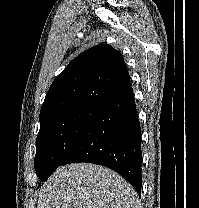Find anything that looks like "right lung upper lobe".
I'll return each mask as SVG.
<instances>
[{"instance_id":"obj_1","label":"right lung upper lobe","mask_w":199,"mask_h":208,"mask_svg":"<svg viewBox=\"0 0 199 208\" xmlns=\"http://www.w3.org/2000/svg\"><path fill=\"white\" fill-rule=\"evenodd\" d=\"M129 88V74L120 52L107 44L94 46L73 59L53 81L39 120L76 107H100Z\"/></svg>"}]
</instances>
